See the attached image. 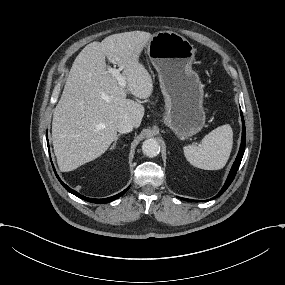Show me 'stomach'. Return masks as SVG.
I'll list each match as a JSON object with an SVG mask.
<instances>
[{"instance_id": "stomach-1", "label": "stomach", "mask_w": 285, "mask_h": 285, "mask_svg": "<svg viewBox=\"0 0 285 285\" xmlns=\"http://www.w3.org/2000/svg\"><path fill=\"white\" fill-rule=\"evenodd\" d=\"M147 55L158 72L165 99L163 124L181 141L197 134L206 116L204 85L192 69L193 45L174 32L161 31L150 40Z\"/></svg>"}]
</instances>
